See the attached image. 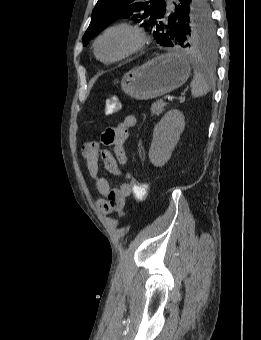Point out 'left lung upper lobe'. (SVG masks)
Masks as SVG:
<instances>
[{
  "label": "left lung upper lobe",
  "instance_id": "1",
  "mask_svg": "<svg viewBox=\"0 0 261 340\" xmlns=\"http://www.w3.org/2000/svg\"><path fill=\"white\" fill-rule=\"evenodd\" d=\"M165 9V0H98L83 44L86 45L111 21L130 18L142 22L141 26L154 27V38L161 46H168V42L175 40L174 46L190 51L210 54L216 51V31L206 0H193L190 13L182 16L176 25L166 21V16L162 15Z\"/></svg>",
  "mask_w": 261,
  "mask_h": 340
}]
</instances>
